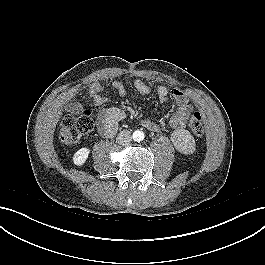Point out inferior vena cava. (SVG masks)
Returning <instances> with one entry per match:
<instances>
[{
    "label": "inferior vena cava",
    "instance_id": "1",
    "mask_svg": "<svg viewBox=\"0 0 265 265\" xmlns=\"http://www.w3.org/2000/svg\"><path fill=\"white\" fill-rule=\"evenodd\" d=\"M132 139L131 133L128 130H123L121 131L117 138H116V142L119 144H123V143H128L130 142Z\"/></svg>",
    "mask_w": 265,
    "mask_h": 265
}]
</instances>
